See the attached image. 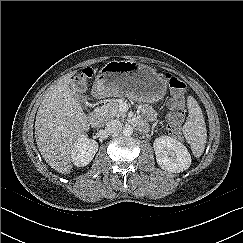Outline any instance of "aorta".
Here are the masks:
<instances>
[{
    "label": "aorta",
    "mask_w": 243,
    "mask_h": 243,
    "mask_svg": "<svg viewBox=\"0 0 243 243\" xmlns=\"http://www.w3.org/2000/svg\"><path fill=\"white\" fill-rule=\"evenodd\" d=\"M132 133H133V128H132V126H130V125H126V126L123 128V134H124L125 136H130V135H132Z\"/></svg>",
    "instance_id": "1"
}]
</instances>
